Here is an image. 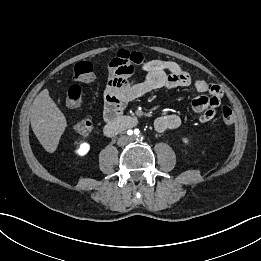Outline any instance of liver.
I'll use <instances>...</instances> for the list:
<instances>
[{"mask_svg":"<svg viewBox=\"0 0 261 261\" xmlns=\"http://www.w3.org/2000/svg\"><path fill=\"white\" fill-rule=\"evenodd\" d=\"M67 126L66 118L49 95L42 90L31 108V127L43 148L53 153Z\"/></svg>","mask_w":261,"mask_h":261,"instance_id":"obj_1","label":"liver"}]
</instances>
